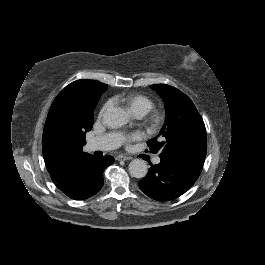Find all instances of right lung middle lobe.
<instances>
[{"instance_id": "dd1d6c3e", "label": "right lung middle lobe", "mask_w": 265, "mask_h": 265, "mask_svg": "<svg viewBox=\"0 0 265 265\" xmlns=\"http://www.w3.org/2000/svg\"><path fill=\"white\" fill-rule=\"evenodd\" d=\"M102 93L93 95L84 101H82L77 109V117H78V127L80 130H84L85 132L80 131L79 136L82 141L85 139V133L92 128L93 118H94V109L100 99Z\"/></svg>"}]
</instances>
